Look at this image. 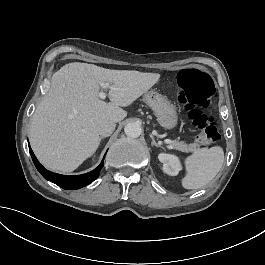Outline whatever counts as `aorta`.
<instances>
[{
    "label": "aorta",
    "instance_id": "1",
    "mask_svg": "<svg viewBox=\"0 0 265 265\" xmlns=\"http://www.w3.org/2000/svg\"><path fill=\"white\" fill-rule=\"evenodd\" d=\"M125 134L131 138H138L141 135V126L136 122L128 123L124 128Z\"/></svg>",
    "mask_w": 265,
    "mask_h": 265
}]
</instances>
